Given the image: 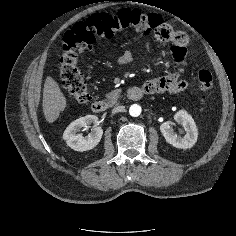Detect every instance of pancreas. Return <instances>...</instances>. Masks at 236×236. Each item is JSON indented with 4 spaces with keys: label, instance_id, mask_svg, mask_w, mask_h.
Segmentation results:
<instances>
[{
    "label": "pancreas",
    "instance_id": "1",
    "mask_svg": "<svg viewBox=\"0 0 236 236\" xmlns=\"http://www.w3.org/2000/svg\"><path fill=\"white\" fill-rule=\"evenodd\" d=\"M121 91V89L112 90L110 93L106 94V97L110 102H114L120 96Z\"/></svg>",
    "mask_w": 236,
    "mask_h": 236
}]
</instances>
